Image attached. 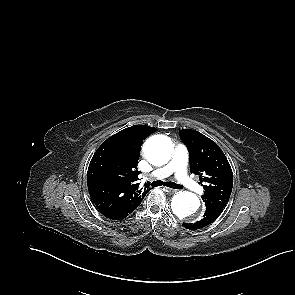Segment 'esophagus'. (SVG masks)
<instances>
[{
  "label": "esophagus",
  "instance_id": "obj_1",
  "mask_svg": "<svg viewBox=\"0 0 295 295\" xmlns=\"http://www.w3.org/2000/svg\"><path fill=\"white\" fill-rule=\"evenodd\" d=\"M166 191H167L168 193H170V194H174V193L177 192L176 189H171V188H166Z\"/></svg>",
  "mask_w": 295,
  "mask_h": 295
}]
</instances>
